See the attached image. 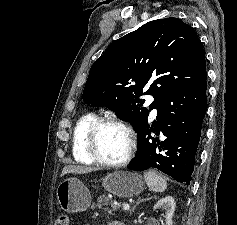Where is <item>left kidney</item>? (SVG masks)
Segmentation results:
<instances>
[{"label": "left kidney", "instance_id": "5707ae66", "mask_svg": "<svg viewBox=\"0 0 237 225\" xmlns=\"http://www.w3.org/2000/svg\"><path fill=\"white\" fill-rule=\"evenodd\" d=\"M175 201L172 196H166L160 199L154 206L155 210L165 211V222L166 225H172V217L175 211Z\"/></svg>", "mask_w": 237, "mask_h": 225}]
</instances>
